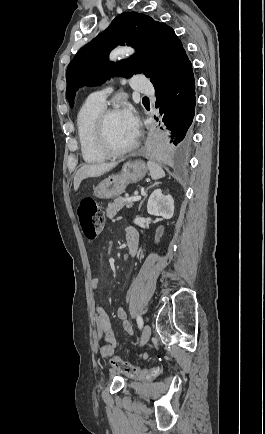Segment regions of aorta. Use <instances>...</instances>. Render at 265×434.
<instances>
[{
    "instance_id": "1",
    "label": "aorta",
    "mask_w": 265,
    "mask_h": 434,
    "mask_svg": "<svg viewBox=\"0 0 265 434\" xmlns=\"http://www.w3.org/2000/svg\"><path fill=\"white\" fill-rule=\"evenodd\" d=\"M131 50L129 48H125V50H122V48H117V50H113L110 54V60H116L118 56H122V54H130Z\"/></svg>"
}]
</instances>
